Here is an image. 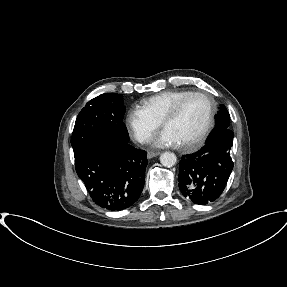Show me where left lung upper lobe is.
I'll list each match as a JSON object with an SVG mask.
<instances>
[{"label":"left lung upper lobe","instance_id":"left-lung-upper-lobe-1","mask_svg":"<svg viewBox=\"0 0 287 287\" xmlns=\"http://www.w3.org/2000/svg\"><path fill=\"white\" fill-rule=\"evenodd\" d=\"M229 125H230V115H229L226 107L224 105H221L219 108V111L216 115V127L212 131V133L210 134L209 138H212L215 135H217L218 133H220L226 129H229Z\"/></svg>","mask_w":287,"mask_h":287}]
</instances>
